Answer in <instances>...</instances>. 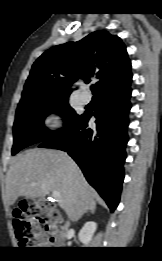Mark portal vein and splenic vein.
Wrapping results in <instances>:
<instances>
[{
    "instance_id": "obj_1",
    "label": "portal vein and splenic vein",
    "mask_w": 162,
    "mask_h": 261,
    "mask_svg": "<svg viewBox=\"0 0 162 261\" xmlns=\"http://www.w3.org/2000/svg\"><path fill=\"white\" fill-rule=\"evenodd\" d=\"M51 197H52L54 200L58 201L59 198H60V193H59L58 191H54V192H52Z\"/></svg>"
}]
</instances>
